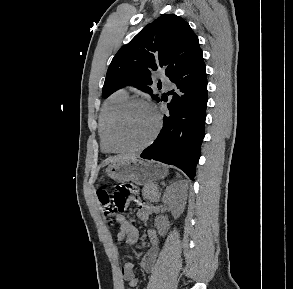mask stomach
<instances>
[{
	"label": "stomach",
	"mask_w": 293,
	"mask_h": 289,
	"mask_svg": "<svg viewBox=\"0 0 293 289\" xmlns=\"http://www.w3.org/2000/svg\"><path fill=\"white\" fill-rule=\"evenodd\" d=\"M107 175L118 182L132 181L138 185L152 184L168 175V168L160 163L132 158L113 162Z\"/></svg>",
	"instance_id": "0dacf381"
}]
</instances>
